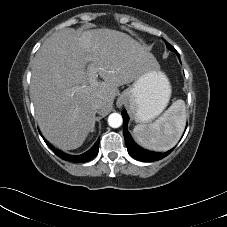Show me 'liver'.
<instances>
[{"label": "liver", "mask_w": 227, "mask_h": 227, "mask_svg": "<svg viewBox=\"0 0 227 227\" xmlns=\"http://www.w3.org/2000/svg\"><path fill=\"white\" fill-rule=\"evenodd\" d=\"M152 67H159L153 54L123 32L53 33L37 51L31 69L30 97L42 134L61 149L79 148L94 130L93 102L102 100L99 113H107L118 87Z\"/></svg>", "instance_id": "6515ba94"}]
</instances>
